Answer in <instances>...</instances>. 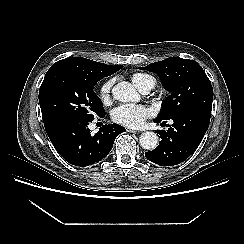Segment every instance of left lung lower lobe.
Returning a JSON list of instances; mask_svg holds the SVG:
<instances>
[{
	"label": "left lung lower lobe",
	"mask_w": 244,
	"mask_h": 244,
	"mask_svg": "<svg viewBox=\"0 0 244 244\" xmlns=\"http://www.w3.org/2000/svg\"><path fill=\"white\" fill-rule=\"evenodd\" d=\"M167 131H158L159 146L146 152L145 157L160 166H174L186 160L199 146L210 122V115L200 111H185L170 118ZM169 120V119H168ZM155 123L165 120L155 119Z\"/></svg>",
	"instance_id": "1"
}]
</instances>
